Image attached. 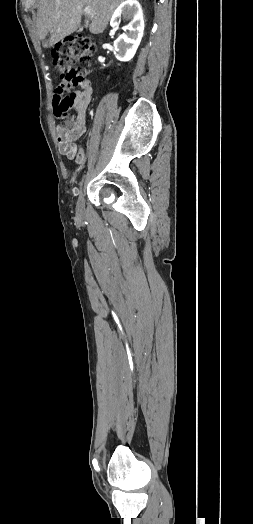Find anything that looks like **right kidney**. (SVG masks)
I'll return each mask as SVG.
<instances>
[{"mask_svg":"<svg viewBox=\"0 0 253 524\" xmlns=\"http://www.w3.org/2000/svg\"><path fill=\"white\" fill-rule=\"evenodd\" d=\"M130 20L128 33H123L114 42L116 58L127 62L131 60L141 42L144 32V19L141 5L136 0H126L114 12L110 25L118 27L120 19Z\"/></svg>","mask_w":253,"mask_h":524,"instance_id":"1","label":"right kidney"}]
</instances>
